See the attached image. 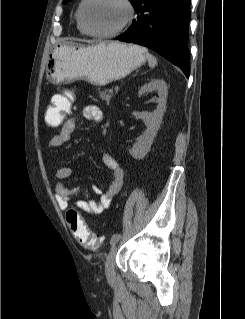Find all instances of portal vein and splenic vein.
<instances>
[{"instance_id":"portal-vein-and-splenic-vein-1","label":"portal vein and splenic vein","mask_w":245,"mask_h":319,"mask_svg":"<svg viewBox=\"0 0 245 319\" xmlns=\"http://www.w3.org/2000/svg\"><path fill=\"white\" fill-rule=\"evenodd\" d=\"M110 91H112V92H113V91H114V90H113V88H112V89H110Z\"/></svg>"}]
</instances>
